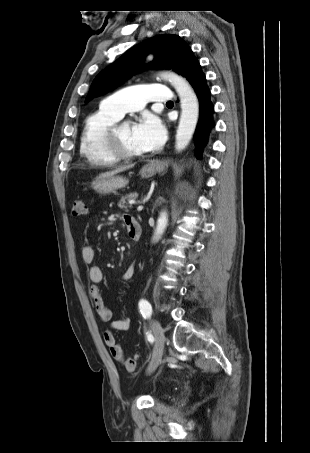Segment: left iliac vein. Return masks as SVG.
<instances>
[{"label":"left iliac vein","mask_w":310,"mask_h":453,"mask_svg":"<svg viewBox=\"0 0 310 453\" xmlns=\"http://www.w3.org/2000/svg\"><path fill=\"white\" fill-rule=\"evenodd\" d=\"M151 328H152V332H153V335L155 338V347H154L152 360L149 363L148 368H147L148 374L152 373L159 365L162 355H163V350H164V345H165V336H164V332H163V329H162L160 323L157 320H152Z\"/></svg>","instance_id":"obj_1"}]
</instances>
